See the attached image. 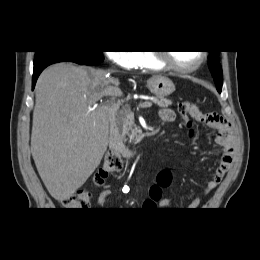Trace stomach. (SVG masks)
Masks as SVG:
<instances>
[{
	"label": "stomach",
	"instance_id": "0dacf381",
	"mask_svg": "<svg viewBox=\"0 0 260 260\" xmlns=\"http://www.w3.org/2000/svg\"><path fill=\"white\" fill-rule=\"evenodd\" d=\"M147 87L158 98H164L175 91L174 83L167 77L154 76L147 81Z\"/></svg>",
	"mask_w": 260,
	"mask_h": 260
}]
</instances>
